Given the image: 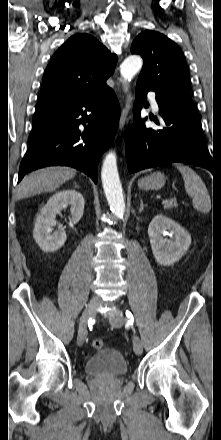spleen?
<instances>
[{"label":"spleen","instance_id":"1","mask_svg":"<svg viewBox=\"0 0 221 440\" xmlns=\"http://www.w3.org/2000/svg\"><path fill=\"white\" fill-rule=\"evenodd\" d=\"M175 167L182 174L185 190L192 198L194 209L202 213H209L211 210V199L200 176L189 166L175 164Z\"/></svg>","mask_w":221,"mask_h":440}]
</instances>
